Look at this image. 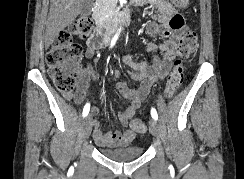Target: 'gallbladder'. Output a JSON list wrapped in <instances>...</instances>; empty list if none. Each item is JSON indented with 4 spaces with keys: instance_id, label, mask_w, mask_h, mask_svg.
<instances>
[{
    "instance_id": "obj_1",
    "label": "gallbladder",
    "mask_w": 244,
    "mask_h": 179,
    "mask_svg": "<svg viewBox=\"0 0 244 179\" xmlns=\"http://www.w3.org/2000/svg\"><path fill=\"white\" fill-rule=\"evenodd\" d=\"M93 4L94 0H83L81 4L80 14H83V16H89V14H91V8Z\"/></svg>"
}]
</instances>
